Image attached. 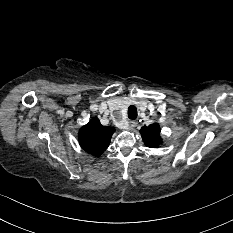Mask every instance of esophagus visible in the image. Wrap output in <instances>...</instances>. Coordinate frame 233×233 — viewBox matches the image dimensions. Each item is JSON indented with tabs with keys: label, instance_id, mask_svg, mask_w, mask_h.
Listing matches in <instances>:
<instances>
[{
	"label": "esophagus",
	"instance_id": "esophagus-1",
	"mask_svg": "<svg viewBox=\"0 0 233 233\" xmlns=\"http://www.w3.org/2000/svg\"><path fill=\"white\" fill-rule=\"evenodd\" d=\"M137 126V122L135 120L129 121L128 127L129 129H134Z\"/></svg>",
	"mask_w": 233,
	"mask_h": 233
}]
</instances>
